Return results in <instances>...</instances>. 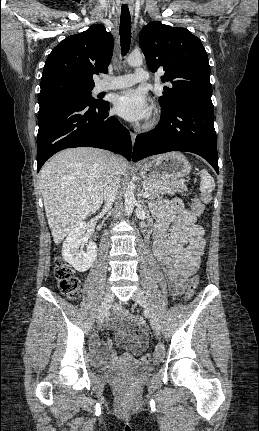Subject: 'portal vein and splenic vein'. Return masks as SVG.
<instances>
[{
	"label": "portal vein and splenic vein",
	"instance_id": "18ae733b",
	"mask_svg": "<svg viewBox=\"0 0 259 431\" xmlns=\"http://www.w3.org/2000/svg\"><path fill=\"white\" fill-rule=\"evenodd\" d=\"M181 181H182V182H184L183 180H181ZM143 196H144V197H148V196H149V192H148V190H146V189H145V192L143 193Z\"/></svg>",
	"mask_w": 259,
	"mask_h": 431
}]
</instances>
